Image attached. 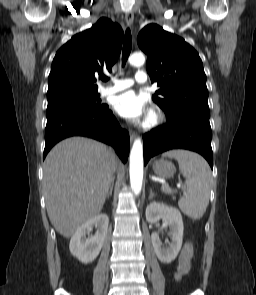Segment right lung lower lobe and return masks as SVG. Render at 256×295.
<instances>
[{
	"label": "right lung lower lobe",
	"instance_id": "right-lung-lower-lobe-1",
	"mask_svg": "<svg viewBox=\"0 0 256 295\" xmlns=\"http://www.w3.org/2000/svg\"><path fill=\"white\" fill-rule=\"evenodd\" d=\"M43 158L60 140L80 135L112 145L123 162L129 154V133L123 130L108 105L83 108L70 104H48Z\"/></svg>",
	"mask_w": 256,
	"mask_h": 295
}]
</instances>
